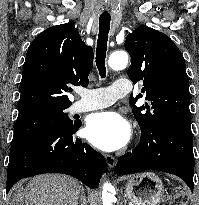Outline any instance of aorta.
<instances>
[{
  "instance_id": "aorta-1",
  "label": "aorta",
  "mask_w": 199,
  "mask_h": 205,
  "mask_svg": "<svg viewBox=\"0 0 199 205\" xmlns=\"http://www.w3.org/2000/svg\"><path fill=\"white\" fill-rule=\"evenodd\" d=\"M109 67L113 70L124 69L128 64V54L125 51H117L110 55L108 60ZM112 186L109 183H104L102 191L103 205H113L112 195L109 193Z\"/></svg>"
}]
</instances>
